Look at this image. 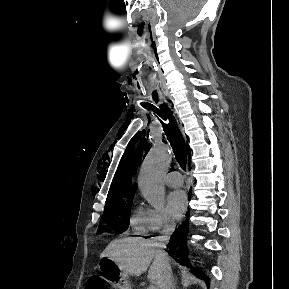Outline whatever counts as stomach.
I'll return each mask as SVG.
<instances>
[{
  "label": "stomach",
  "mask_w": 289,
  "mask_h": 289,
  "mask_svg": "<svg viewBox=\"0 0 289 289\" xmlns=\"http://www.w3.org/2000/svg\"><path fill=\"white\" fill-rule=\"evenodd\" d=\"M97 268L108 280H111L113 286L119 289H130L128 275L121 271L112 259L107 257L100 258Z\"/></svg>",
  "instance_id": "1"
}]
</instances>
